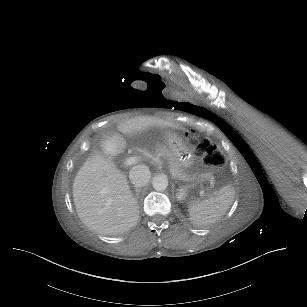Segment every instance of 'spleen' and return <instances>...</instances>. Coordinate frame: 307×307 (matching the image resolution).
Instances as JSON below:
<instances>
[{"mask_svg": "<svg viewBox=\"0 0 307 307\" xmlns=\"http://www.w3.org/2000/svg\"><path fill=\"white\" fill-rule=\"evenodd\" d=\"M234 194L233 187L226 185L215 195L194 201L189 207L193 223L197 226H207L218 221L232 204Z\"/></svg>", "mask_w": 307, "mask_h": 307, "instance_id": "3e777b00", "label": "spleen"}]
</instances>
